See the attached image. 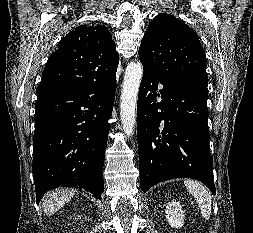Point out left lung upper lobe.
<instances>
[{
    "instance_id": "1",
    "label": "left lung upper lobe",
    "mask_w": 253,
    "mask_h": 233,
    "mask_svg": "<svg viewBox=\"0 0 253 233\" xmlns=\"http://www.w3.org/2000/svg\"><path fill=\"white\" fill-rule=\"evenodd\" d=\"M138 53L140 61L165 83H208L205 52L198 35L170 14H158L149 23Z\"/></svg>"
}]
</instances>
